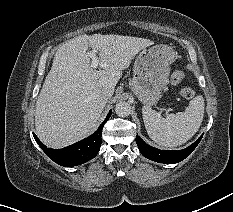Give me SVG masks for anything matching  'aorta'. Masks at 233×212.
<instances>
[{
	"mask_svg": "<svg viewBox=\"0 0 233 212\" xmlns=\"http://www.w3.org/2000/svg\"><path fill=\"white\" fill-rule=\"evenodd\" d=\"M115 112L119 117L129 116L131 113V106L127 102H119L116 104Z\"/></svg>",
	"mask_w": 233,
	"mask_h": 212,
	"instance_id": "762f6f07",
	"label": "aorta"
}]
</instances>
